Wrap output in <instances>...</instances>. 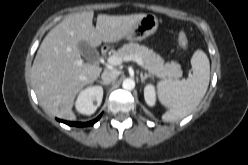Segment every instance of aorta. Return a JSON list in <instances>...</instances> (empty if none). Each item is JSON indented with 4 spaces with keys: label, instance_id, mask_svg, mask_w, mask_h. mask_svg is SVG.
<instances>
[{
    "label": "aorta",
    "instance_id": "aorta-1",
    "mask_svg": "<svg viewBox=\"0 0 248 165\" xmlns=\"http://www.w3.org/2000/svg\"><path fill=\"white\" fill-rule=\"evenodd\" d=\"M122 87L125 90H133L135 87V81L131 78H126L125 80H123Z\"/></svg>",
    "mask_w": 248,
    "mask_h": 165
}]
</instances>
